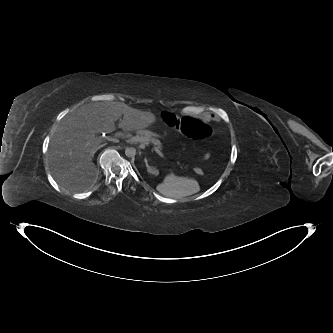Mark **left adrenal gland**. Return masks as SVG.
I'll return each instance as SVG.
<instances>
[{
	"mask_svg": "<svg viewBox=\"0 0 333 333\" xmlns=\"http://www.w3.org/2000/svg\"><path fill=\"white\" fill-rule=\"evenodd\" d=\"M144 162H145V166L147 167V171L151 174L154 173V170H153V167H151L149 164H148V161H147V158L145 157L144 158Z\"/></svg>",
	"mask_w": 333,
	"mask_h": 333,
	"instance_id": "left-adrenal-gland-1",
	"label": "left adrenal gland"
}]
</instances>
